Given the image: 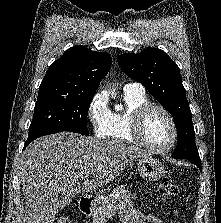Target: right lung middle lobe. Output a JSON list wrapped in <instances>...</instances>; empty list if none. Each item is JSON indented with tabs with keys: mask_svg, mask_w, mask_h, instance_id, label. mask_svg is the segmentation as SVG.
<instances>
[{
	"mask_svg": "<svg viewBox=\"0 0 221 223\" xmlns=\"http://www.w3.org/2000/svg\"><path fill=\"white\" fill-rule=\"evenodd\" d=\"M92 100L89 95L37 100L27 141L62 131L89 135L86 118Z\"/></svg>",
	"mask_w": 221,
	"mask_h": 223,
	"instance_id": "obj_1",
	"label": "right lung middle lobe"
}]
</instances>
